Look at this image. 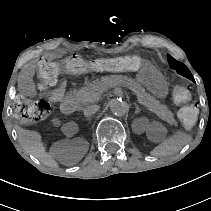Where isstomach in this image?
<instances>
[{
  "instance_id": "0dacf381",
  "label": "stomach",
  "mask_w": 211,
  "mask_h": 211,
  "mask_svg": "<svg viewBox=\"0 0 211 211\" xmlns=\"http://www.w3.org/2000/svg\"><path fill=\"white\" fill-rule=\"evenodd\" d=\"M137 79L142 85L160 98H164L168 93L167 83L160 74L142 72L138 74Z\"/></svg>"
}]
</instances>
